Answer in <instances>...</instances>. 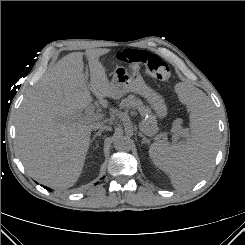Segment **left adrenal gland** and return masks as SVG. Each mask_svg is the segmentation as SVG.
<instances>
[{
    "mask_svg": "<svg viewBox=\"0 0 245 245\" xmlns=\"http://www.w3.org/2000/svg\"><path fill=\"white\" fill-rule=\"evenodd\" d=\"M138 135H139L140 137H142V142H141V144H149V139H147V138L145 137V135H143L141 132H139Z\"/></svg>",
    "mask_w": 245,
    "mask_h": 245,
    "instance_id": "a2214340",
    "label": "left adrenal gland"
}]
</instances>
